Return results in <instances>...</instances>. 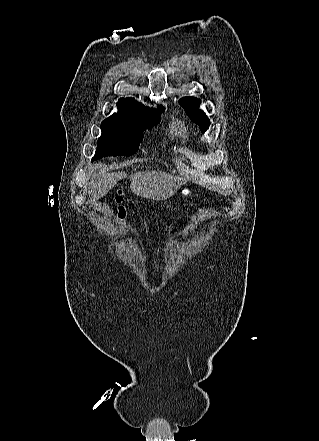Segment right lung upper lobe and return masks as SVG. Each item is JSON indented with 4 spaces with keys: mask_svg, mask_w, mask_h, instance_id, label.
I'll list each match as a JSON object with an SVG mask.
<instances>
[{
    "mask_svg": "<svg viewBox=\"0 0 319 441\" xmlns=\"http://www.w3.org/2000/svg\"><path fill=\"white\" fill-rule=\"evenodd\" d=\"M117 106L119 107V111H128V110H150L148 108H145L137 102L134 98H121L119 102L117 103ZM159 109L162 108L161 106H158Z\"/></svg>",
    "mask_w": 319,
    "mask_h": 441,
    "instance_id": "right-lung-upper-lobe-1",
    "label": "right lung upper lobe"
}]
</instances>
